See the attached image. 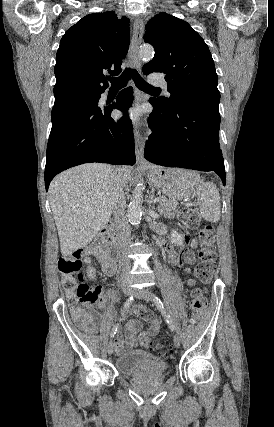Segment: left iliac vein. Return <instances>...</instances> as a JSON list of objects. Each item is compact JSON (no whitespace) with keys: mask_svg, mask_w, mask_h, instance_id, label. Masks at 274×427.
Segmentation results:
<instances>
[{"mask_svg":"<svg viewBox=\"0 0 274 427\" xmlns=\"http://www.w3.org/2000/svg\"><path fill=\"white\" fill-rule=\"evenodd\" d=\"M132 292H133L134 296L139 298V299H144L146 301H153L152 300V294L147 289H133ZM174 345H175V347L180 346V337L177 334L174 335Z\"/></svg>","mask_w":274,"mask_h":427,"instance_id":"4c4485c4","label":"left iliac vein"}]
</instances>
